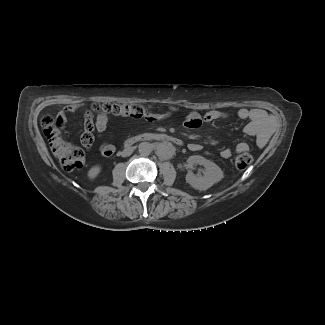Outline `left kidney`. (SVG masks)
Wrapping results in <instances>:
<instances>
[{
  "instance_id": "1",
  "label": "left kidney",
  "mask_w": 325,
  "mask_h": 325,
  "mask_svg": "<svg viewBox=\"0 0 325 325\" xmlns=\"http://www.w3.org/2000/svg\"><path fill=\"white\" fill-rule=\"evenodd\" d=\"M187 163L190 169L195 165L205 168L203 176L195 175L191 170L186 175V182L196 190H207L224 178V173L217 164L200 155L190 156Z\"/></svg>"
}]
</instances>
